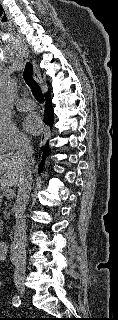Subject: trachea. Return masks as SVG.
I'll return each instance as SVG.
<instances>
[{
  "label": "trachea",
  "instance_id": "1",
  "mask_svg": "<svg viewBox=\"0 0 118 320\" xmlns=\"http://www.w3.org/2000/svg\"><path fill=\"white\" fill-rule=\"evenodd\" d=\"M23 78L28 86L31 88L33 95L39 103H44V96L39 89V85L33 78V66L31 63H27L23 73Z\"/></svg>",
  "mask_w": 118,
  "mask_h": 320
}]
</instances>
